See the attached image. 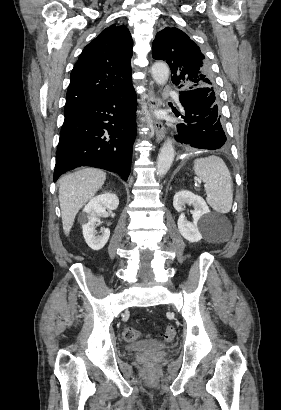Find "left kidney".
<instances>
[{"label":"left kidney","instance_id":"obj_1","mask_svg":"<svg viewBox=\"0 0 281 410\" xmlns=\"http://www.w3.org/2000/svg\"><path fill=\"white\" fill-rule=\"evenodd\" d=\"M186 204L194 207L193 222H188L182 213ZM173 206L181 213L178 219L180 234L191 243L199 242L202 239L201 232L211 223L210 210L205 200L188 190H181L175 194Z\"/></svg>","mask_w":281,"mask_h":410}]
</instances>
